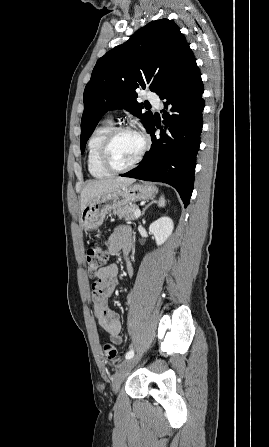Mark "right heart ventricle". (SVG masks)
I'll return each instance as SVG.
<instances>
[{
	"label": "right heart ventricle",
	"instance_id": "e07e8e85",
	"mask_svg": "<svg viewBox=\"0 0 269 447\" xmlns=\"http://www.w3.org/2000/svg\"><path fill=\"white\" fill-rule=\"evenodd\" d=\"M112 128L113 122L106 120L95 128L88 141V170L96 178H103L111 173L110 170L102 165L100 156L103 141Z\"/></svg>",
	"mask_w": 269,
	"mask_h": 447
}]
</instances>
